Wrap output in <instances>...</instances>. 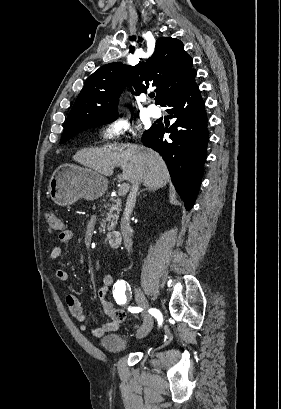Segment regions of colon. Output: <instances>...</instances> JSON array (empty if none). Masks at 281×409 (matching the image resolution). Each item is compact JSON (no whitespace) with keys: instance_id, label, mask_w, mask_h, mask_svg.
I'll use <instances>...</instances> for the list:
<instances>
[{"instance_id":"colon-1","label":"colon","mask_w":281,"mask_h":409,"mask_svg":"<svg viewBox=\"0 0 281 409\" xmlns=\"http://www.w3.org/2000/svg\"><path fill=\"white\" fill-rule=\"evenodd\" d=\"M45 218L48 223L49 231L52 233L62 234L65 232V224L57 211L47 210L45 212ZM113 320L117 322H124L126 320V315L119 306H114L110 311Z\"/></svg>"}]
</instances>
